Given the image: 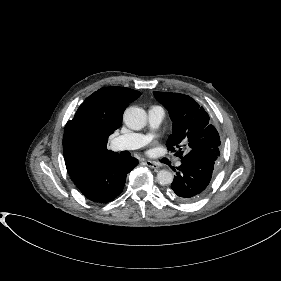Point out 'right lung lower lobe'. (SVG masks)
I'll return each mask as SVG.
<instances>
[{"instance_id":"1","label":"right lung lower lobe","mask_w":281,"mask_h":281,"mask_svg":"<svg viewBox=\"0 0 281 281\" xmlns=\"http://www.w3.org/2000/svg\"><path fill=\"white\" fill-rule=\"evenodd\" d=\"M137 165V159L113 153L100 158L74 183L89 200L108 203L122 192L127 174Z\"/></svg>"}]
</instances>
